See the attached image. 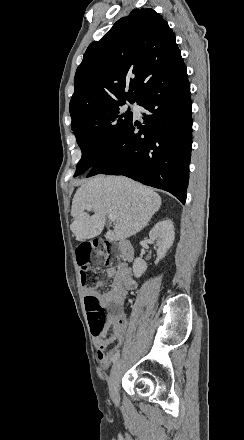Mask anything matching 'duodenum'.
<instances>
[{
  "label": "duodenum",
  "mask_w": 244,
  "mask_h": 440,
  "mask_svg": "<svg viewBox=\"0 0 244 440\" xmlns=\"http://www.w3.org/2000/svg\"><path fill=\"white\" fill-rule=\"evenodd\" d=\"M118 245H119V250H120V254H121L122 258L126 261L133 260L134 253H133V249H132L130 241L122 240V241H119Z\"/></svg>",
  "instance_id": "410a0bca"
}]
</instances>
